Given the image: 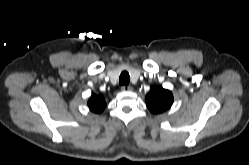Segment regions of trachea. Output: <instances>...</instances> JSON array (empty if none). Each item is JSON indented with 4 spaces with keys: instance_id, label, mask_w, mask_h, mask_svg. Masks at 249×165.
<instances>
[{
    "instance_id": "3493384b",
    "label": "trachea",
    "mask_w": 249,
    "mask_h": 165,
    "mask_svg": "<svg viewBox=\"0 0 249 165\" xmlns=\"http://www.w3.org/2000/svg\"><path fill=\"white\" fill-rule=\"evenodd\" d=\"M130 82V75L128 72L124 71L120 74V77H119V84L120 85H128Z\"/></svg>"
}]
</instances>
